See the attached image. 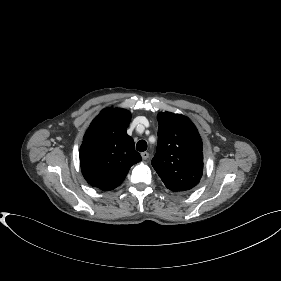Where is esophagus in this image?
<instances>
[{
    "label": "esophagus",
    "mask_w": 281,
    "mask_h": 281,
    "mask_svg": "<svg viewBox=\"0 0 281 281\" xmlns=\"http://www.w3.org/2000/svg\"><path fill=\"white\" fill-rule=\"evenodd\" d=\"M141 156H142L143 160H147L149 158V153L148 152H142Z\"/></svg>",
    "instance_id": "34e87169"
}]
</instances>
